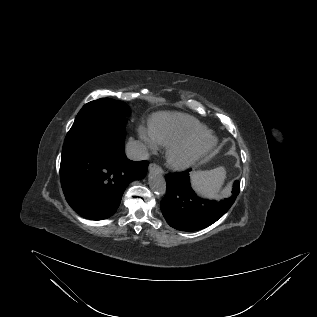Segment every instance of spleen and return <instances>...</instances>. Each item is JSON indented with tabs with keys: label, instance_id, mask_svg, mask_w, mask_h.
I'll return each instance as SVG.
<instances>
[{
	"label": "spleen",
	"instance_id": "1",
	"mask_svg": "<svg viewBox=\"0 0 317 317\" xmlns=\"http://www.w3.org/2000/svg\"><path fill=\"white\" fill-rule=\"evenodd\" d=\"M226 178V171L218 167L209 171H198L191 176L192 187L204 197H214Z\"/></svg>",
	"mask_w": 317,
	"mask_h": 317
}]
</instances>
